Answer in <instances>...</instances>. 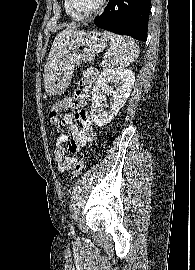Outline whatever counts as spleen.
<instances>
[{
	"label": "spleen",
	"instance_id": "3e777b00",
	"mask_svg": "<svg viewBox=\"0 0 195 270\" xmlns=\"http://www.w3.org/2000/svg\"><path fill=\"white\" fill-rule=\"evenodd\" d=\"M103 34L109 42L112 51V58L109 64L111 68H125L138 58L139 48L133 39L109 31H104Z\"/></svg>",
	"mask_w": 195,
	"mask_h": 270
}]
</instances>
